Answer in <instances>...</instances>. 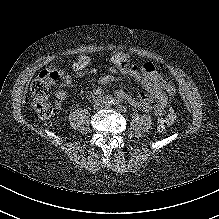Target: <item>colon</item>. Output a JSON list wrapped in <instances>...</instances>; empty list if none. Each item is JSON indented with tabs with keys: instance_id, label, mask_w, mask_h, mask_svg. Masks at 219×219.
I'll list each match as a JSON object with an SVG mask.
<instances>
[{
	"instance_id": "5ec220e1",
	"label": "colon",
	"mask_w": 219,
	"mask_h": 219,
	"mask_svg": "<svg viewBox=\"0 0 219 219\" xmlns=\"http://www.w3.org/2000/svg\"><path fill=\"white\" fill-rule=\"evenodd\" d=\"M59 78V73L53 68L43 69L30 86L32 105L37 116L44 122H50L56 114L49 102L51 88ZM175 113L170 110L160 122V130L166 131L175 121Z\"/></svg>"
}]
</instances>
